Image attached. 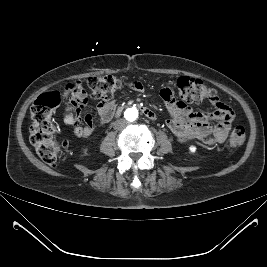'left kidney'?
<instances>
[{"instance_id":"5707ae66","label":"left kidney","mask_w":267,"mask_h":267,"mask_svg":"<svg viewBox=\"0 0 267 267\" xmlns=\"http://www.w3.org/2000/svg\"><path fill=\"white\" fill-rule=\"evenodd\" d=\"M189 150H190L191 153H194L196 148L194 146H190Z\"/></svg>"}]
</instances>
